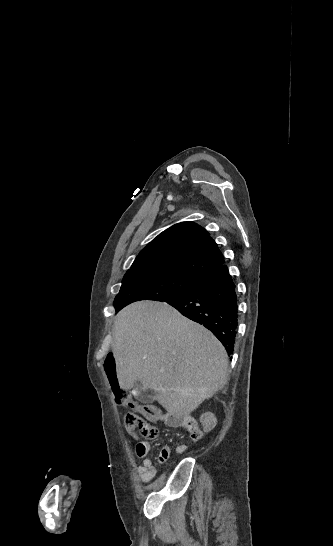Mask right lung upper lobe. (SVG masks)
Instances as JSON below:
<instances>
[{
    "label": "right lung upper lobe",
    "instance_id": "1",
    "mask_svg": "<svg viewBox=\"0 0 333 546\" xmlns=\"http://www.w3.org/2000/svg\"><path fill=\"white\" fill-rule=\"evenodd\" d=\"M225 263L209 233L193 222H181L159 234L136 257L125 275L168 272L202 279Z\"/></svg>",
    "mask_w": 333,
    "mask_h": 546
}]
</instances>
